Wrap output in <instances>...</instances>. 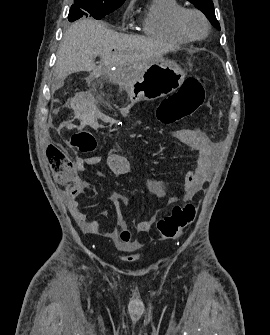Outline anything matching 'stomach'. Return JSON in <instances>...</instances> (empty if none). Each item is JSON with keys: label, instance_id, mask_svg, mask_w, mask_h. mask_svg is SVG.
I'll use <instances>...</instances> for the list:
<instances>
[{"label": "stomach", "instance_id": "0dacf381", "mask_svg": "<svg viewBox=\"0 0 270 335\" xmlns=\"http://www.w3.org/2000/svg\"><path fill=\"white\" fill-rule=\"evenodd\" d=\"M119 80H122L128 94V100L133 106L142 100H157L176 92L182 86L185 72L179 66H172L163 58L152 60L144 67L121 66L116 70Z\"/></svg>", "mask_w": 270, "mask_h": 335}]
</instances>
